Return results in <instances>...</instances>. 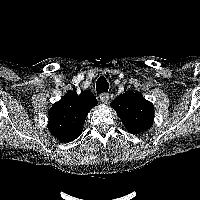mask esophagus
Segmentation results:
<instances>
[{
	"label": "esophagus",
	"mask_w": 200,
	"mask_h": 200,
	"mask_svg": "<svg viewBox=\"0 0 200 200\" xmlns=\"http://www.w3.org/2000/svg\"><path fill=\"white\" fill-rule=\"evenodd\" d=\"M100 100L102 103L107 104L109 101V94L107 92H103L100 94Z\"/></svg>",
	"instance_id": "esophagus-1"
}]
</instances>
